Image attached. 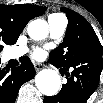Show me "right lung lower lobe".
Returning <instances> with one entry per match:
<instances>
[{
    "mask_svg": "<svg viewBox=\"0 0 103 103\" xmlns=\"http://www.w3.org/2000/svg\"><path fill=\"white\" fill-rule=\"evenodd\" d=\"M34 76L35 69L29 59L11 72L9 69H0V103H14L22 84Z\"/></svg>",
    "mask_w": 103,
    "mask_h": 103,
    "instance_id": "1",
    "label": "right lung lower lobe"
}]
</instances>
